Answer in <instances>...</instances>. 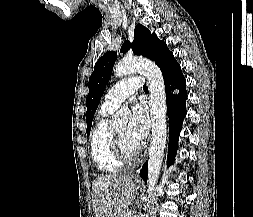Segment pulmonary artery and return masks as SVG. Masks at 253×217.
<instances>
[{
  "mask_svg": "<svg viewBox=\"0 0 253 217\" xmlns=\"http://www.w3.org/2000/svg\"><path fill=\"white\" fill-rule=\"evenodd\" d=\"M142 85L143 79L139 76L123 79L110 88L104 97L101 107L108 110H115L125 99L141 88Z\"/></svg>",
  "mask_w": 253,
  "mask_h": 217,
  "instance_id": "e3ab8cb5",
  "label": "pulmonary artery"
}]
</instances>
